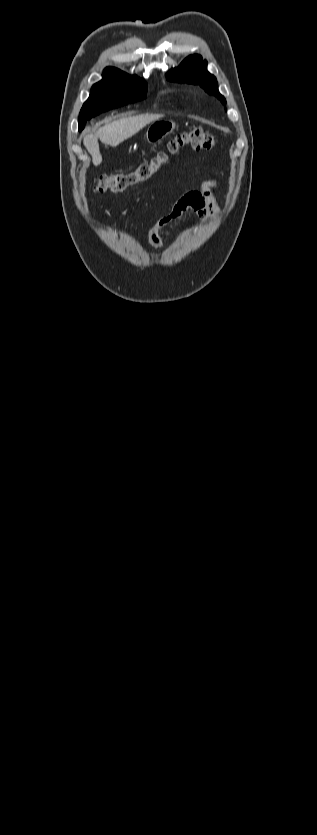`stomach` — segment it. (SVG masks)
<instances>
[{
    "label": "stomach",
    "mask_w": 317,
    "mask_h": 835,
    "mask_svg": "<svg viewBox=\"0 0 317 835\" xmlns=\"http://www.w3.org/2000/svg\"><path fill=\"white\" fill-rule=\"evenodd\" d=\"M176 128V123L172 120H160L153 122L147 129L146 139L151 145H156L162 141L166 136L171 134Z\"/></svg>",
    "instance_id": "1"
}]
</instances>
